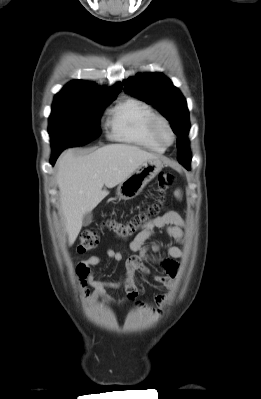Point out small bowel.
Returning a JSON list of instances; mask_svg holds the SVG:
<instances>
[{"label": "small bowel", "mask_w": 261, "mask_h": 399, "mask_svg": "<svg viewBox=\"0 0 261 399\" xmlns=\"http://www.w3.org/2000/svg\"><path fill=\"white\" fill-rule=\"evenodd\" d=\"M164 228L165 234L178 244L183 241V220L174 210H167L164 214L150 220L139 231V233L130 241L129 248L132 255H124L116 250L107 249L106 255L109 260L116 263H124L125 274L118 281H107L104 279H95L93 267L100 266L102 258L97 255L80 261L76 267V275L87 303L91 304L102 298L113 305H122L126 301H135L139 295V288L136 283L137 275L152 276L154 281L162 284L172 291L175 288V281L180 271V261L184 258V253L179 246L153 244L146 245L156 232V229ZM151 262L163 271L162 274L152 273L147 266ZM89 286L92 287L90 291ZM124 288L125 297L115 299L106 293V289ZM167 299V295L159 294L155 301L162 306ZM138 306L144 305L138 302ZM159 312V309L154 312Z\"/></svg>", "instance_id": "c3829d8e"}]
</instances>
